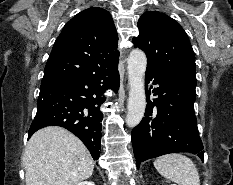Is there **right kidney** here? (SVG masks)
Wrapping results in <instances>:
<instances>
[{"label": "right kidney", "instance_id": "obj_1", "mask_svg": "<svg viewBox=\"0 0 233 185\" xmlns=\"http://www.w3.org/2000/svg\"><path fill=\"white\" fill-rule=\"evenodd\" d=\"M77 185H95V184L90 181H84V182L78 183Z\"/></svg>", "mask_w": 233, "mask_h": 185}]
</instances>
